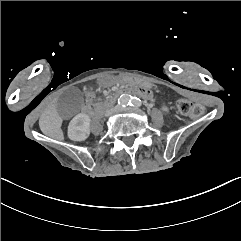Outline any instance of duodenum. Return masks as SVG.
Segmentation results:
<instances>
[{
  "label": "duodenum",
  "mask_w": 241,
  "mask_h": 241,
  "mask_svg": "<svg viewBox=\"0 0 241 241\" xmlns=\"http://www.w3.org/2000/svg\"><path fill=\"white\" fill-rule=\"evenodd\" d=\"M124 93H136L143 97L149 96L148 91H146L145 89L128 87L124 90H118L115 93L111 94L110 96L107 97V99L102 104L92 107L89 113L93 118H96V119L100 118L103 115L104 111L112 105L115 99L123 95Z\"/></svg>",
  "instance_id": "duodenum-1"
}]
</instances>
